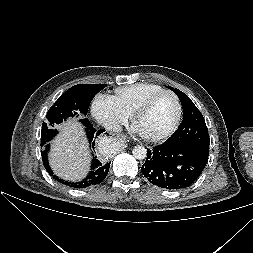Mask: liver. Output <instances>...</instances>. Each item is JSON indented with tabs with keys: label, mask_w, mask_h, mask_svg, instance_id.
I'll list each match as a JSON object with an SVG mask.
<instances>
[{
	"label": "liver",
	"mask_w": 253,
	"mask_h": 253,
	"mask_svg": "<svg viewBox=\"0 0 253 253\" xmlns=\"http://www.w3.org/2000/svg\"><path fill=\"white\" fill-rule=\"evenodd\" d=\"M61 133L53 141L49 162L53 171L69 181L83 179L88 170L90 155L80 124L69 121L58 126Z\"/></svg>",
	"instance_id": "obj_1"
}]
</instances>
